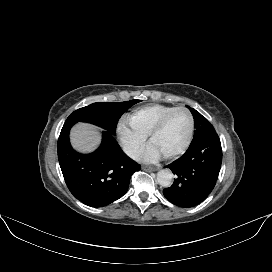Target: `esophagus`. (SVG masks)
<instances>
[{
    "label": "esophagus",
    "mask_w": 272,
    "mask_h": 272,
    "mask_svg": "<svg viewBox=\"0 0 272 272\" xmlns=\"http://www.w3.org/2000/svg\"><path fill=\"white\" fill-rule=\"evenodd\" d=\"M143 169L146 171H158L159 167L143 166Z\"/></svg>",
    "instance_id": "34e87169"
}]
</instances>
